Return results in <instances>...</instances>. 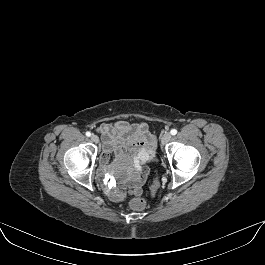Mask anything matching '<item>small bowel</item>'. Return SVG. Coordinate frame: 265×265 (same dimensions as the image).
Returning a JSON list of instances; mask_svg holds the SVG:
<instances>
[{"label": "small bowel", "instance_id": "1", "mask_svg": "<svg viewBox=\"0 0 265 265\" xmlns=\"http://www.w3.org/2000/svg\"><path fill=\"white\" fill-rule=\"evenodd\" d=\"M98 131L102 135L104 148L100 157L101 170L108 168L110 156L125 159L132 158L138 174L132 175L118 188L110 182L104 189L113 201H122L130 195L139 196L145 183L148 168L143 165L154 155L155 141L148 126L143 122L116 121L100 125Z\"/></svg>", "mask_w": 265, "mask_h": 265}]
</instances>
